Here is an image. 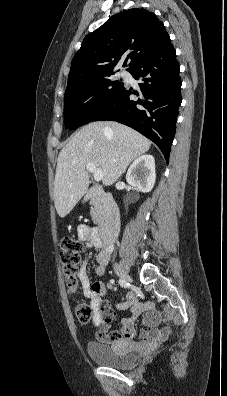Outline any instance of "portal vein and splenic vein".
<instances>
[{"mask_svg": "<svg viewBox=\"0 0 227 396\" xmlns=\"http://www.w3.org/2000/svg\"><path fill=\"white\" fill-rule=\"evenodd\" d=\"M86 168L89 172L93 173L94 180L95 181H100L103 178V173L100 169H97L96 166L92 163H88L86 165Z\"/></svg>", "mask_w": 227, "mask_h": 396, "instance_id": "obj_1", "label": "portal vein and splenic vein"}]
</instances>
